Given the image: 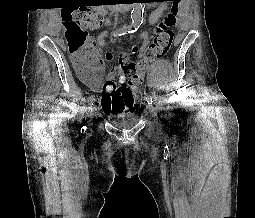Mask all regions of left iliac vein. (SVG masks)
Instances as JSON below:
<instances>
[{
  "label": "left iliac vein",
  "mask_w": 255,
  "mask_h": 218,
  "mask_svg": "<svg viewBox=\"0 0 255 218\" xmlns=\"http://www.w3.org/2000/svg\"><path fill=\"white\" fill-rule=\"evenodd\" d=\"M147 108H148L149 113H150L152 116H154V115L156 114L155 108H154V106H153L152 104H148V105H147Z\"/></svg>",
  "instance_id": "1"
}]
</instances>
